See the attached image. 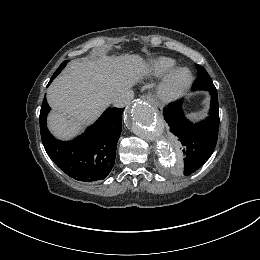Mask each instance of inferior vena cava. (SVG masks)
I'll list each match as a JSON object with an SVG mask.
<instances>
[{
  "mask_svg": "<svg viewBox=\"0 0 260 260\" xmlns=\"http://www.w3.org/2000/svg\"><path fill=\"white\" fill-rule=\"evenodd\" d=\"M134 98V92L133 90L127 89L124 90L117 95H115L111 101L113 106L118 107V108H123L126 105H128L132 99Z\"/></svg>",
  "mask_w": 260,
  "mask_h": 260,
  "instance_id": "inferior-vena-cava-1",
  "label": "inferior vena cava"
}]
</instances>
